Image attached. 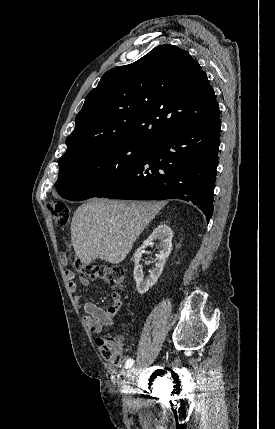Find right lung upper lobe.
I'll return each mask as SVG.
<instances>
[{
    "label": "right lung upper lobe",
    "mask_w": 275,
    "mask_h": 429,
    "mask_svg": "<svg viewBox=\"0 0 275 429\" xmlns=\"http://www.w3.org/2000/svg\"><path fill=\"white\" fill-rule=\"evenodd\" d=\"M218 115L214 90L198 62L174 45H160L102 76L86 96L59 163L116 144H149Z\"/></svg>",
    "instance_id": "right-lung-upper-lobe-1"
}]
</instances>
